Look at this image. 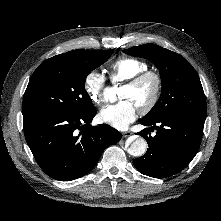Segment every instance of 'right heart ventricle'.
Instances as JSON below:
<instances>
[{"mask_svg":"<svg viewBox=\"0 0 221 221\" xmlns=\"http://www.w3.org/2000/svg\"><path fill=\"white\" fill-rule=\"evenodd\" d=\"M148 69L149 65L141 59L121 57L110 65L109 73L112 82L120 83Z\"/></svg>","mask_w":221,"mask_h":221,"instance_id":"1","label":"right heart ventricle"}]
</instances>
